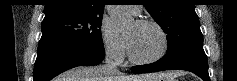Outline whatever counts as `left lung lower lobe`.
Segmentation results:
<instances>
[{
	"mask_svg": "<svg viewBox=\"0 0 237 81\" xmlns=\"http://www.w3.org/2000/svg\"><path fill=\"white\" fill-rule=\"evenodd\" d=\"M131 69L135 73L156 72L173 69L187 70L195 73L204 81H210L207 56L203 50V47L191 49L171 61H166L161 58L155 63L133 66Z\"/></svg>",
	"mask_w": 237,
	"mask_h": 81,
	"instance_id": "obj_1",
	"label": "left lung lower lobe"
}]
</instances>
